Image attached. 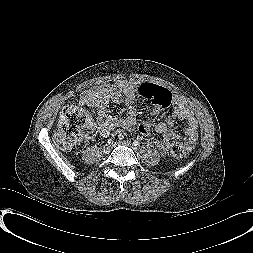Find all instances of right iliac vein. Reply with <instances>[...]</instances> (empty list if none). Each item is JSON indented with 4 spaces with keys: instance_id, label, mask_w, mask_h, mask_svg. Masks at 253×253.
Here are the masks:
<instances>
[{
    "instance_id": "1",
    "label": "right iliac vein",
    "mask_w": 253,
    "mask_h": 253,
    "mask_svg": "<svg viewBox=\"0 0 253 253\" xmlns=\"http://www.w3.org/2000/svg\"><path fill=\"white\" fill-rule=\"evenodd\" d=\"M111 149H112L111 145H104L102 148V152L108 154L111 151Z\"/></svg>"
}]
</instances>
